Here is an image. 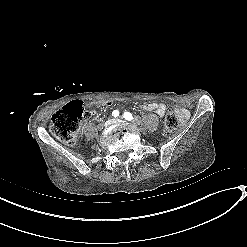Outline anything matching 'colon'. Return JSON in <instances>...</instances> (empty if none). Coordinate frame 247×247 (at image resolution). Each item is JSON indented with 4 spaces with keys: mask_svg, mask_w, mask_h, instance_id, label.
<instances>
[{
    "mask_svg": "<svg viewBox=\"0 0 247 247\" xmlns=\"http://www.w3.org/2000/svg\"><path fill=\"white\" fill-rule=\"evenodd\" d=\"M134 103V98L125 97L102 101V106L119 103ZM95 108H101V103H95ZM86 112L80 99H73L69 105L57 111L52 119L51 131L53 135L64 142L75 141L78 131L86 121ZM178 127L177 114L174 110H168L165 115V130L173 133Z\"/></svg>",
    "mask_w": 247,
    "mask_h": 247,
    "instance_id": "obj_1",
    "label": "colon"
}]
</instances>
